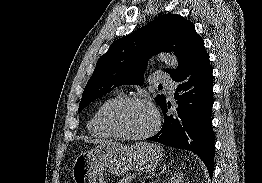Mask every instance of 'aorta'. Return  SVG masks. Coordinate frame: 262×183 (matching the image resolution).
I'll return each instance as SVG.
<instances>
[{"label": "aorta", "instance_id": "aorta-1", "mask_svg": "<svg viewBox=\"0 0 262 183\" xmlns=\"http://www.w3.org/2000/svg\"><path fill=\"white\" fill-rule=\"evenodd\" d=\"M157 59L164 62L168 67L171 68H176L178 66L176 57L171 53H160L157 55Z\"/></svg>", "mask_w": 262, "mask_h": 183}]
</instances>
